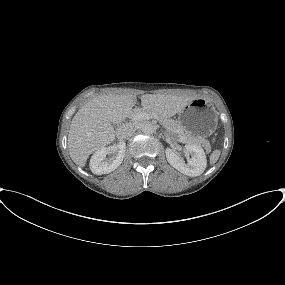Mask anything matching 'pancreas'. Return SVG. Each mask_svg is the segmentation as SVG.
<instances>
[{
  "instance_id": "1",
  "label": "pancreas",
  "mask_w": 285,
  "mask_h": 285,
  "mask_svg": "<svg viewBox=\"0 0 285 285\" xmlns=\"http://www.w3.org/2000/svg\"><path fill=\"white\" fill-rule=\"evenodd\" d=\"M159 121L166 128L167 132L170 135H178L183 139L184 142L200 144L205 147L208 152L210 151L211 146L207 140L203 138L196 139L194 137L188 136L175 120L159 117Z\"/></svg>"
}]
</instances>
